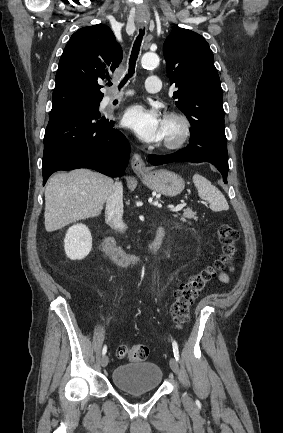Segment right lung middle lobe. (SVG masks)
Returning a JSON list of instances; mask_svg holds the SVG:
<instances>
[{
    "mask_svg": "<svg viewBox=\"0 0 283 433\" xmlns=\"http://www.w3.org/2000/svg\"><path fill=\"white\" fill-rule=\"evenodd\" d=\"M99 104H100V101L95 102V103L86 104V105H83V106H80V107H77V108H74L72 110H69V111H66V112H63V113H59V114H56V115L66 114V113H72V112H76V111H80V110H86V109H91V108L98 109L99 108Z\"/></svg>",
    "mask_w": 283,
    "mask_h": 433,
    "instance_id": "obj_1",
    "label": "right lung middle lobe"
}]
</instances>
